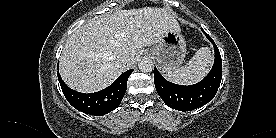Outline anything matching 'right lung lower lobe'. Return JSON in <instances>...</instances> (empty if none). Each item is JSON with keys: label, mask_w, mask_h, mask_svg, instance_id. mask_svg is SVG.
Returning a JSON list of instances; mask_svg holds the SVG:
<instances>
[{"label": "right lung lower lobe", "mask_w": 276, "mask_h": 138, "mask_svg": "<svg viewBox=\"0 0 276 138\" xmlns=\"http://www.w3.org/2000/svg\"><path fill=\"white\" fill-rule=\"evenodd\" d=\"M132 72L133 69L124 72L107 88L89 94L80 93L69 88L61 79L59 72L57 74L63 94L74 108L86 114L102 116L120 105L126 92L128 77Z\"/></svg>", "instance_id": "98d812e1"}]
</instances>
